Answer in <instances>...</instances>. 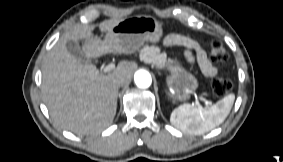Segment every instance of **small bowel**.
Returning a JSON list of instances; mask_svg holds the SVG:
<instances>
[{
  "label": "small bowel",
  "instance_id": "c3829d8e",
  "mask_svg": "<svg viewBox=\"0 0 283 162\" xmlns=\"http://www.w3.org/2000/svg\"><path fill=\"white\" fill-rule=\"evenodd\" d=\"M164 44L168 46H180L184 49V55L189 63H196L206 77H213L217 69L210 63L205 51L194 40L180 35H170L165 38Z\"/></svg>",
  "mask_w": 283,
  "mask_h": 162
}]
</instances>
